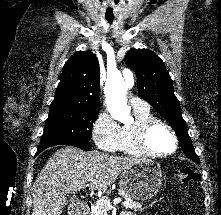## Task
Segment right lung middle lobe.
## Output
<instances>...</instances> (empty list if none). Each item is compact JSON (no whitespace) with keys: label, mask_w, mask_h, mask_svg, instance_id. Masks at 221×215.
<instances>
[{"label":"right lung middle lobe","mask_w":221,"mask_h":215,"mask_svg":"<svg viewBox=\"0 0 221 215\" xmlns=\"http://www.w3.org/2000/svg\"><path fill=\"white\" fill-rule=\"evenodd\" d=\"M98 110H63L49 113L41 145H60L92 137Z\"/></svg>","instance_id":"dd1d6c3e"}]
</instances>
